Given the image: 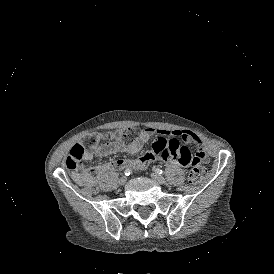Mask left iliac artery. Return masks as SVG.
<instances>
[{
	"label": "left iliac artery",
	"mask_w": 274,
	"mask_h": 274,
	"mask_svg": "<svg viewBox=\"0 0 274 274\" xmlns=\"http://www.w3.org/2000/svg\"><path fill=\"white\" fill-rule=\"evenodd\" d=\"M155 172H156L157 174H162V173H163L162 169H160V168H156V169H155Z\"/></svg>",
	"instance_id": "44dca946"
}]
</instances>
